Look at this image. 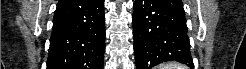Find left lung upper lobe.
<instances>
[{
  "instance_id": "obj_1",
  "label": "left lung upper lobe",
  "mask_w": 246,
  "mask_h": 69,
  "mask_svg": "<svg viewBox=\"0 0 246 69\" xmlns=\"http://www.w3.org/2000/svg\"><path fill=\"white\" fill-rule=\"evenodd\" d=\"M164 1L177 12H180L181 14L185 15L181 0H164Z\"/></svg>"
}]
</instances>
